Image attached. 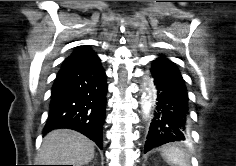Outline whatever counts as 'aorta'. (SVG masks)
I'll return each mask as SVG.
<instances>
[{
    "instance_id": "1",
    "label": "aorta",
    "mask_w": 236,
    "mask_h": 166,
    "mask_svg": "<svg viewBox=\"0 0 236 166\" xmlns=\"http://www.w3.org/2000/svg\"><path fill=\"white\" fill-rule=\"evenodd\" d=\"M151 94L149 92V96H146V94L142 95V109L145 115H147L150 112L151 109Z\"/></svg>"
}]
</instances>
